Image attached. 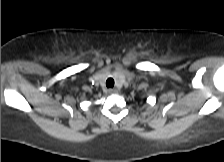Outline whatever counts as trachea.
<instances>
[{
    "label": "trachea",
    "mask_w": 224,
    "mask_h": 162,
    "mask_svg": "<svg viewBox=\"0 0 224 162\" xmlns=\"http://www.w3.org/2000/svg\"><path fill=\"white\" fill-rule=\"evenodd\" d=\"M106 86L108 88H113L114 87V79L113 78H108L106 81Z\"/></svg>",
    "instance_id": "trachea-1"
}]
</instances>
